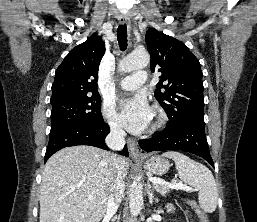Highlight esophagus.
Segmentation results:
<instances>
[{
  "mask_svg": "<svg viewBox=\"0 0 257 222\" xmlns=\"http://www.w3.org/2000/svg\"><path fill=\"white\" fill-rule=\"evenodd\" d=\"M119 22H120V24H127L130 26V20L126 16H120ZM127 146H128V150H129V153L132 158H138L140 156L138 144L135 140L127 139Z\"/></svg>",
  "mask_w": 257,
  "mask_h": 222,
  "instance_id": "esophagus-1",
  "label": "esophagus"
}]
</instances>
